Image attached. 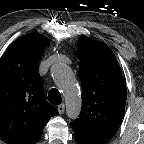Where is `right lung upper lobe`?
I'll use <instances>...</instances> for the list:
<instances>
[{
  "label": "right lung upper lobe",
  "instance_id": "1",
  "mask_svg": "<svg viewBox=\"0 0 144 144\" xmlns=\"http://www.w3.org/2000/svg\"><path fill=\"white\" fill-rule=\"evenodd\" d=\"M49 39L30 33L0 58V136L6 144H35L58 113L44 99L39 60Z\"/></svg>",
  "mask_w": 144,
  "mask_h": 144
}]
</instances>
